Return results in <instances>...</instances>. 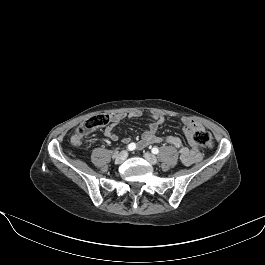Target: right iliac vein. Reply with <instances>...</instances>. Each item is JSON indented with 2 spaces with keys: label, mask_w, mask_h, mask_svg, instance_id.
<instances>
[{
  "label": "right iliac vein",
  "mask_w": 265,
  "mask_h": 265,
  "mask_svg": "<svg viewBox=\"0 0 265 265\" xmlns=\"http://www.w3.org/2000/svg\"><path fill=\"white\" fill-rule=\"evenodd\" d=\"M127 156H128L127 151H121L116 157V162L118 164L124 162L126 160Z\"/></svg>",
  "instance_id": "right-iliac-vein-1"
}]
</instances>
